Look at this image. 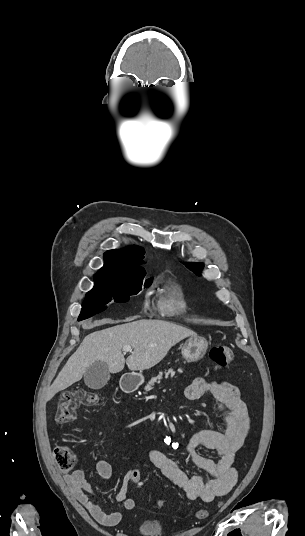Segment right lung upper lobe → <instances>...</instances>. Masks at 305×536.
<instances>
[{
	"label": "right lung upper lobe",
	"mask_w": 305,
	"mask_h": 536,
	"mask_svg": "<svg viewBox=\"0 0 305 536\" xmlns=\"http://www.w3.org/2000/svg\"><path fill=\"white\" fill-rule=\"evenodd\" d=\"M144 250L131 246L125 250H109L104 253V266L94 275V280L144 279L146 271L140 267Z\"/></svg>",
	"instance_id": "cb5924a9"
}]
</instances>
